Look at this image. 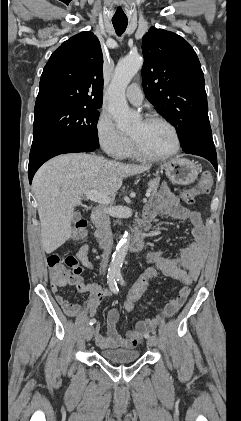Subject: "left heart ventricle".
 Here are the masks:
<instances>
[{
	"label": "left heart ventricle",
	"instance_id": "1",
	"mask_svg": "<svg viewBox=\"0 0 241 421\" xmlns=\"http://www.w3.org/2000/svg\"><path fill=\"white\" fill-rule=\"evenodd\" d=\"M139 146L151 155H162L174 146L171 130L162 123H144L138 121L129 131Z\"/></svg>",
	"mask_w": 241,
	"mask_h": 421
}]
</instances>
